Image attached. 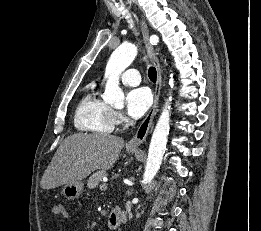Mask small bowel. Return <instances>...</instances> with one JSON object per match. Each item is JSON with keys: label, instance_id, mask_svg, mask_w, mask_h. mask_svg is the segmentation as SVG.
I'll return each mask as SVG.
<instances>
[{"label": "small bowel", "instance_id": "obj_1", "mask_svg": "<svg viewBox=\"0 0 261 231\" xmlns=\"http://www.w3.org/2000/svg\"><path fill=\"white\" fill-rule=\"evenodd\" d=\"M51 216L53 218L60 217V216L65 217L67 216V212L65 211V208L62 205L56 204L51 209Z\"/></svg>", "mask_w": 261, "mask_h": 231}]
</instances>
